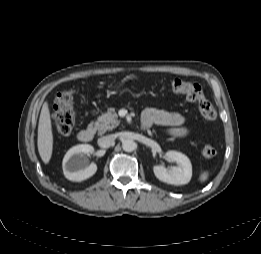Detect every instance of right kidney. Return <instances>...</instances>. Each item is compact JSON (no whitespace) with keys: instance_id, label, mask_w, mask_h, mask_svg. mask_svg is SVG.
<instances>
[{"instance_id":"obj_1","label":"right kidney","mask_w":261,"mask_h":254,"mask_svg":"<svg viewBox=\"0 0 261 254\" xmlns=\"http://www.w3.org/2000/svg\"><path fill=\"white\" fill-rule=\"evenodd\" d=\"M94 152L93 146L80 144L70 148L63 159V172L65 177L71 181H83L93 176L97 171V165H87L86 156Z\"/></svg>"}]
</instances>
